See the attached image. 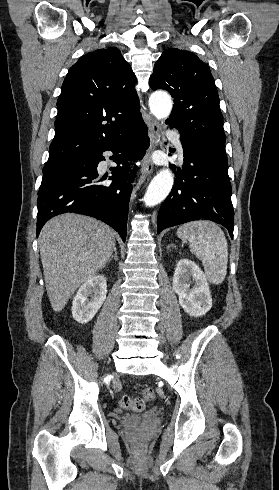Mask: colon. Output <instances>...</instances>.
<instances>
[{
    "mask_svg": "<svg viewBox=\"0 0 279 490\" xmlns=\"http://www.w3.org/2000/svg\"><path fill=\"white\" fill-rule=\"evenodd\" d=\"M154 397L155 391L151 387H147L140 397L131 398L129 396H123L120 399V407L125 410L141 412L146 408L147 403L153 401Z\"/></svg>",
    "mask_w": 279,
    "mask_h": 490,
    "instance_id": "1",
    "label": "colon"
}]
</instances>
